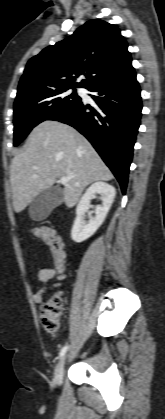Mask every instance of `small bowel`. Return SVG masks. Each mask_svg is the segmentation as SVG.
Here are the masks:
<instances>
[{"label":"small bowel","mask_w":165,"mask_h":419,"mask_svg":"<svg viewBox=\"0 0 165 419\" xmlns=\"http://www.w3.org/2000/svg\"><path fill=\"white\" fill-rule=\"evenodd\" d=\"M35 236L45 242L44 237L40 234H35ZM56 274L57 271L55 267H44L39 269L37 273V282L41 285V288L33 295V300L36 304H40L42 302L43 297L47 292L64 285V282L62 281H57L52 285H48L50 280L53 279Z\"/></svg>","instance_id":"obj_1"}]
</instances>
